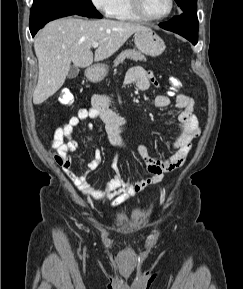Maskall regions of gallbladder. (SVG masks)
<instances>
[{
	"mask_svg": "<svg viewBox=\"0 0 243 289\" xmlns=\"http://www.w3.org/2000/svg\"><path fill=\"white\" fill-rule=\"evenodd\" d=\"M79 74V68L78 67H75V66H72L69 70V73L67 75V77L69 79H73L75 77H77V75Z\"/></svg>",
	"mask_w": 243,
	"mask_h": 289,
	"instance_id": "bac80fb5",
	"label": "gallbladder"
}]
</instances>
